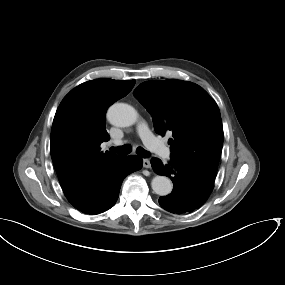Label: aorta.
<instances>
[{
    "mask_svg": "<svg viewBox=\"0 0 285 285\" xmlns=\"http://www.w3.org/2000/svg\"><path fill=\"white\" fill-rule=\"evenodd\" d=\"M107 118L112 125L129 127L136 123L138 113L128 104L115 103L109 108ZM151 187L156 194L166 196L172 192L173 184L168 177L157 175L152 179Z\"/></svg>",
    "mask_w": 285,
    "mask_h": 285,
    "instance_id": "762f6f07",
    "label": "aorta"
}]
</instances>
